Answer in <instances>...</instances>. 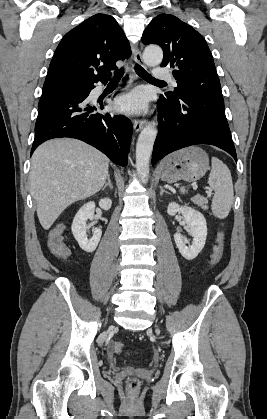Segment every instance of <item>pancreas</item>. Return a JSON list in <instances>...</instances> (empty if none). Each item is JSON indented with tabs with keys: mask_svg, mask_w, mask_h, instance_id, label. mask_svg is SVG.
Returning <instances> with one entry per match:
<instances>
[{
	"mask_svg": "<svg viewBox=\"0 0 267 419\" xmlns=\"http://www.w3.org/2000/svg\"><path fill=\"white\" fill-rule=\"evenodd\" d=\"M192 202L194 204L198 205L199 207H201L203 210L208 209L207 199L202 197V196H196V197L192 198Z\"/></svg>",
	"mask_w": 267,
	"mask_h": 419,
	"instance_id": "cf45deb5",
	"label": "pancreas"
}]
</instances>
